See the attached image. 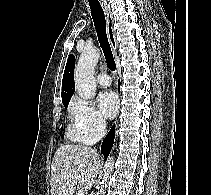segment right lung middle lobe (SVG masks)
Returning <instances> with one entry per match:
<instances>
[{"label": "right lung middle lobe", "mask_w": 211, "mask_h": 195, "mask_svg": "<svg viewBox=\"0 0 211 195\" xmlns=\"http://www.w3.org/2000/svg\"><path fill=\"white\" fill-rule=\"evenodd\" d=\"M68 103H69V102H65V103H63L65 108H67Z\"/></svg>", "instance_id": "1"}]
</instances>
